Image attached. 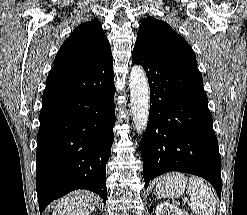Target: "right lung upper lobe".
Segmentation results:
<instances>
[{"mask_svg":"<svg viewBox=\"0 0 247 215\" xmlns=\"http://www.w3.org/2000/svg\"><path fill=\"white\" fill-rule=\"evenodd\" d=\"M112 57L109 41L97 19L82 23L62 44L54 66L86 71Z\"/></svg>","mask_w":247,"mask_h":215,"instance_id":"1","label":"right lung upper lobe"}]
</instances>
